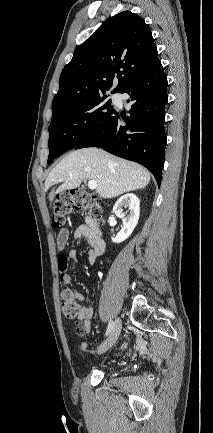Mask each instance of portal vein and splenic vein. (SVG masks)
Wrapping results in <instances>:
<instances>
[{
  "label": "portal vein and splenic vein",
  "mask_w": 213,
  "mask_h": 433,
  "mask_svg": "<svg viewBox=\"0 0 213 433\" xmlns=\"http://www.w3.org/2000/svg\"><path fill=\"white\" fill-rule=\"evenodd\" d=\"M88 188L91 190H95L97 188V182L96 181H89L88 182Z\"/></svg>",
  "instance_id": "1"
}]
</instances>
